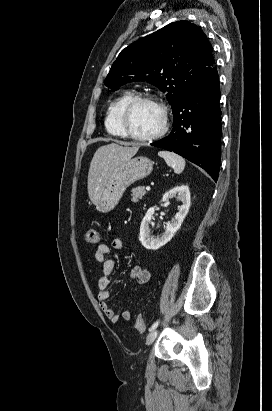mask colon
Segmentation results:
<instances>
[{"mask_svg": "<svg viewBox=\"0 0 272 411\" xmlns=\"http://www.w3.org/2000/svg\"><path fill=\"white\" fill-rule=\"evenodd\" d=\"M99 231L95 228L88 230L85 234V241L89 244H95L99 241ZM136 329L139 333H144L146 330V324L141 314L136 319Z\"/></svg>", "mask_w": 272, "mask_h": 411, "instance_id": "colon-1", "label": "colon"}]
</instances>
